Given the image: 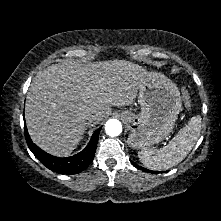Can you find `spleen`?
<instances>
[{
	"instance_id": "spleen-1",
	"label": "spleen",
	"mask_w": 221,
	"mask_h": 221,
	"mask_svg": "<svg viewBox=\"0 0 221 221\" xmlns=\"http://www.w3.org/2000/svg\"><path fill=\"white\" fill-rule=\"evenodd\" d=\"M201 131V117L194 116L169 144L160 149L144 148L138 157L147 168L152 170L169 169L180 163L197 142Z\"/></svg>"
}]
</instances>
